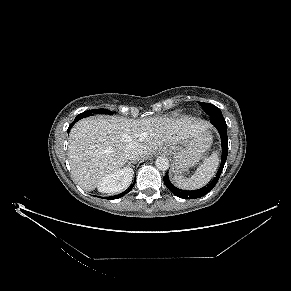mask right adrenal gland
I'll use <instances>...</instances> for the list:
<instances>
[{"instance_id": "2a0ac1e0", "label": "right adrenal gland", "mask_w": 291, "mask_h": 291, "mask_svg": "<svg viewBox=\"0 0 291 291\" xmlns=\"http://www.w3.org/2000/svg\"><path fill=\"white\" fill-rule=\"evenodd\" d=\"M131 163H134V161L128 162V165H129V166H132Z\"/></svg>"}]
</instances>
